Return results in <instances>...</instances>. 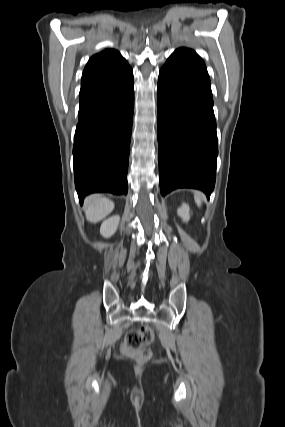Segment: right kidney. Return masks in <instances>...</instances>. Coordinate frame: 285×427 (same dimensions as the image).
Wrapping results in <instances>:
<instances>
[{
  "label": "right kidney",
  "mask_w": 285,
  "mask_h": 427,
  "mask_svg": "<svg viewBox=\"0 0 285 427\" xmlns=\"http://www.w3.org/2000/svg\"><path fill=\"white\" fill-rule=\"evenodd\" d=\"M119 221L120 217L118 215L112 216L103 221L100 228L101 235L105 238L111 237L116 232Z\"/></svg>",
  "instance_id": "obj_1"
}]
</instances>
